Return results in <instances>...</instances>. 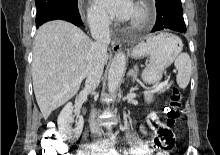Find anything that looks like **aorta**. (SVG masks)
<instances>
[{"label":"aorta","mask_w":220,"mask_h":155,"mask_svg":"<svg viewBox=\"0 0 220 155\" xmlns=\"http://www.w3.org/2000/svg\"><path fill=\"white\" fill-rule=\"evenodd\" d=\"M126 66V57L123 52L117 53L111 63L108 73V91L114 93L123 77Z\"/></svg>","instance_id":"1"}]
</instances>
